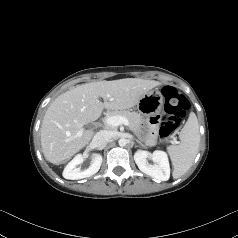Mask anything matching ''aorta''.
I'll use <instances>...</instances> for the list:
<instances>
[{
	"label": "aorta",
	"mask_w": 238,
	"mask_h": 238,
	"mask_svg": "<svg viewBox=\"0 0 238 238\" xmlns=\"http://www.w3.org/2000/svg\"><path fill=\"white\" fill-rule=\"evenodd\" d=\"M118 144H119L121 147H123V146H125V145L127 144V140H126L125 138H120V139L118 140Z\"/></svg>",
	"instance_id": "762f6f07"
}]
</instances>
